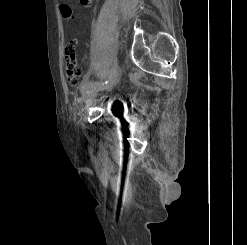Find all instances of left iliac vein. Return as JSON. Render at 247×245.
I'll use <instances>...</instances> for the list:
<instances>
[{
	"label": "left iliac vein",
	"mask_w": 247,
	"mask_h": 245,
	"mask_svg": "<svg viewBox=\"0 0 247 245\" xmlns=\"http://www.w3.org/2000/svg\"><path fill=\"white\" fill-rule=\"evenodd\" d=\"M120 79V72L116 70L110 77L109 82L107 85L104 86H98L93 84L87 92L84 93L83 95V100L84 102L88 105L90 104L93 99L97 96L99 91L102 90H111L113 89L117 83L119 82Z\"/></svg>",
	"instance_id": "obj_1"
}]
</instances>
